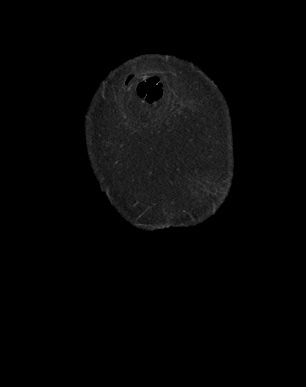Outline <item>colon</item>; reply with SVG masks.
Listing matches in <instances>:
<instances>
[{
	"mask_svg": "<svg viewBox=\"0 0 306 387\" xmlns=\"http://www.w3.org/2000/svg\"><path fill=\"white\" fill-rule=\"evenodd\" d=\"M163 88L161 82L150 77L140 83V97L147 103H156L162 97Z\"/></svg>",
	"mask_w": 306,
	"mask_h": 387,
	"instance_id": "1",
	"label": "colon"
}]
</instances>
